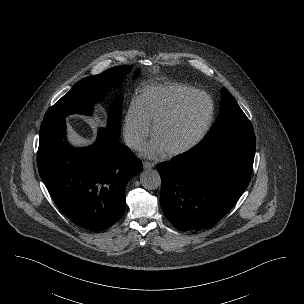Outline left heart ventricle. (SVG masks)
Returning <instances> with one entry per match:
<instances>
[{"instance_id": "1", "label": "left heart ventricle", "mask_w": 304, "mask_h": 304, "mask_svg": "<svg viewBox=\"0 0 304 304\" xmlns=\"http://www.w3.org/2000/svg\"><path fill=\"white\" fill-rule=\"evenodd\" d=\"M208 112L204 99L189 102L175 117L161 125L155 138L167 151L179 148L197 134Z\"/></svg>"}]
</instances>
